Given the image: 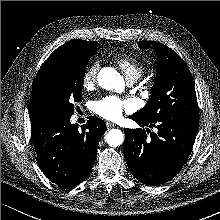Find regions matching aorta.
<instances>
[{
    "instance_id": "obj_1",
    "label": "aorta",
    "mask_w": 220,
    "mask_h": 220,
    "mask_svg": "<svg viewBox=\"0 0 220 220\" xmlns=\"http://www.w3.org/2000/svg\"><path fill=\"white\" fill-rule=\"evenodd\" d=\"M98 84L106 90H117L124 87V80L119 72L114 68L105 67L101 69L97 77ZM106 142L112 146L117 147L121 145L124 141L123 133L118 129H111L106 137Z\"/></svg>"
}]
</instances>
